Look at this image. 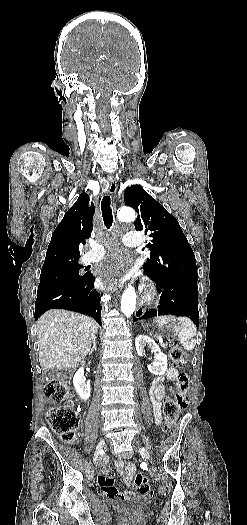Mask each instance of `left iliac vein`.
Returning <instances> with one entry per match:
<instances>
[{
	"instance_id": "obj_1",
	"label": "left iliac vein",
	"mask_w": 247,
	"mask_h": 525,
	"mask_svg": "<svg viewBox=\"0 0 247 525\" xmlns=\"http://www.w3.org/2000/svg\"><path fill=\"white\" fill-rule=\"evenodd\" d=\"M139 452L141 453V455L146 459V460H150L151 459V454L150 452L148 451V449L146 448H143V447H139Z\"/></svg>"
}]
</instances>
